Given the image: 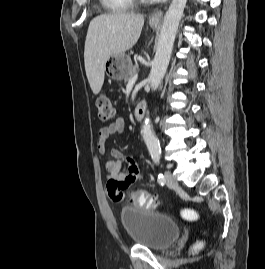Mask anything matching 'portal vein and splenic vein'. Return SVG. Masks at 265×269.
<instances>
[{
	"label": "portal vein and splenic vein",
	"instance_id": "obj_1",
	"mask_svg": "<svg viewBox=\"0 0 265 269\" xmlns=\"http://www.w3.org/2000/svg\"><path fill=\"white\" fill-rule=\"evenodd\" d=\"M138 75H134L130 80H129V84H134L137 81Z\"/></svg>",
	"mask_w": 265,
	"mask_h": 269
}]
</instances>
